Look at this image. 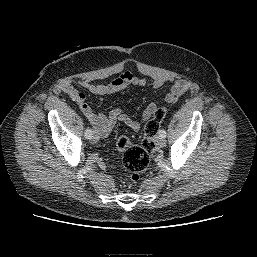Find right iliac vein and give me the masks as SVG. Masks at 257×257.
Listing matches in <instances>:
<instances>
[{
    "instance_id": "63e3f726",
    "label": "right iliac vein",
    "mask_w": 257,
    "mask_h": 257,
    "mask_svg": "<svg viewBox=\"0 0 257 257\" xmlns=\"http://www.w3.org/2000/svg\"><path fill=\"white\" fill-rule=\"evenodd\" d=\"M90 140H91L92 143H96V142L99 140V138L96 137L95 135H92V137L90 138Z\"/></svg>"
}]
</instances>
